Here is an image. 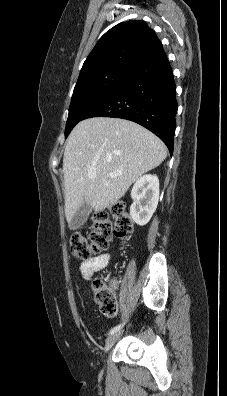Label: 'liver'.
I'll return each mask as SVG.
<instances>
[{
    "mask_svg": "<svg viewBox=\"0 0 227 396\" xmlns=\"http://www.w3.org/2000/svg\"><path fill=\"white\" fill-rule=\"evenodd\" d=\"M166 156L165 144L132 121L93 117L79 122L67 139L63 157L67 222L84 201L96 212L114 205ZM90 171L95 178L88 177Z\"/></svg>",
    "mask_w": 227,
    "mask_h": 396,
    "instance_id": "6515ba94",
    "label": "liver"
}]
</instances>
